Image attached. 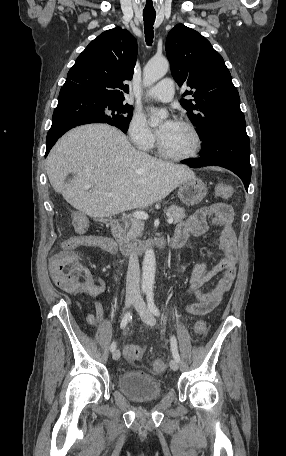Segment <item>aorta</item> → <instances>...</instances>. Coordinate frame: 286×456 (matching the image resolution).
<instances>
[{"label":"aorta","mask_w":286,"mask_h":456,"mask_svg":"<svg viewBox=\"0 0 286 456\" xmlns=\"http://www.w3.org/2000/svg\"><path fill=\"white\" fill-rule=\"evenodd\" d=\"M169 62L166 58H152L143 70V81L145 86H151L161 79L168 72ZM168 113L166 111L154 112V117L151 120V125H157L163 119H166ZM156 258L153 249L145 251L142 263V290L152 291L155 281Z\"/></svg>","instance_id":"obj_1"}]
</instances>
